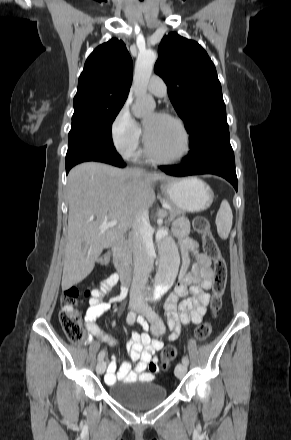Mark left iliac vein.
Masks as SVG:
<instances>
[{
	"label": "left iliac vein",
	"mask_w": 291,
	"mask_h": 440,
	"mask_svg": "<svg viewBox=\"0 0 291 440\" xmlns=\"http://www.w3.org/2000/svg\"><path fill=\"white\" fill-rule=\"evenodd\" d=\"M137 311L140 314H142L144 317H146V319L151 324H154L155 322H157V320L159 318L158 314L147 305H140L139 309ZM152 330H153V327H152ZM186 371H187V365L180 363L175 368V375L177 378H182L186 374Z\"/></svg>",
	"instance_id": "left-iliac-vein-1"
}]
</instances>
